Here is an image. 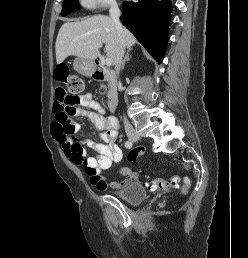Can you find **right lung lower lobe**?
I'll list each match as a JSON object with an SVG mask.
<instances>
[{"label":"right lung lower lobe","mask_w":248,"mask_h":258,"mask_svg":"<svg viewBox=\"0 0 248 258\" xmlns=\"http://www.w3.org/2000/svg\"><path fill=\"white\" fill-rule=\"evenodd\" d=\"M170 10L169 0H138L136 3H123L121 22L158 63H161L167 45Z\"/></svg>","instance_id":"98d812e1"}]
</instances>
